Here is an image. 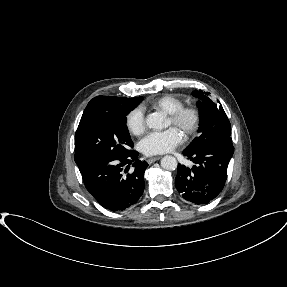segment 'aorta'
<instances>
[{"mask_svg":"<svg viewBox=\"0 0 287 287\" xmlns=\"http://www.w3.org/2000/svg\"><path fill=\"white\" fill-rule=\"evenodd\" d=\"M147 126L149 128L159 130L164 127L163 117L159 113H153L147 118ZM177 160L175 157L167 155L161 159V167L164 170L173 171L177 168Z\"/></svg>","mask_w":287,"mask_h":287,"instance_id":"aorta-1","label":"aorta"}]
</instances>
